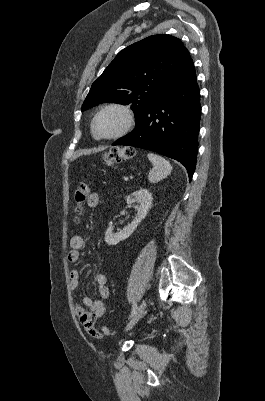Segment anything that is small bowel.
I'll list each match as a JSON object with an SVG mask.
<instances>
[{
  "label": "small bowel",
  "instance_id": "small-bowel-1",
  "mask_svg": "<svg viewBox=\"0 0 265 401\" xmlns=\"http://www.w3.org/2000/svg\"><path fill=\"white\" fill-rule=\"evenodd\" d=\"M100 201L97 193L90 194L88 198V207L94 208L98 206ZM84 247V239L80 235H75L70 239V251L68 253V260L72 263L77 262L80 258L81 250ZM70 286L73 290L77 289L79 285V272L73 269L69 273ZM95 283L97 285V291L101 299H106L110 295V289L108 287V277L103 273L95 275ZM105 304L102 300H93L90 297L83 299V305L75 306V313L79 318V321L86 327H94V322L102 318L105 315Z\"/></svg>",
  "mask_w": 265,
  "mask_h": 401
}]
</instances>
